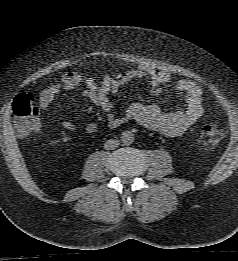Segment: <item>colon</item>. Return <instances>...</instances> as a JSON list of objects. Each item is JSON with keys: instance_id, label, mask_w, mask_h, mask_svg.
<instances>
[{"instance_id": "5ec220e1", "label": "colon", "mask_w": 238, "mask_h": 261, "mask_svg": "<svg viewBox=\"0 0 238 261\" xmlns=\"http://www.w3.org/2000/svg\"><path fill=\"white\" fill-rule=\"evenodd\" d=\"M39 107L33 96L22 94L13 104L14 126L21 137H27L40 127ZM223 138L222 129L216 124H207L199 134V144L204 149H210L220 143Z\"/></svg>"}]
</instances>
